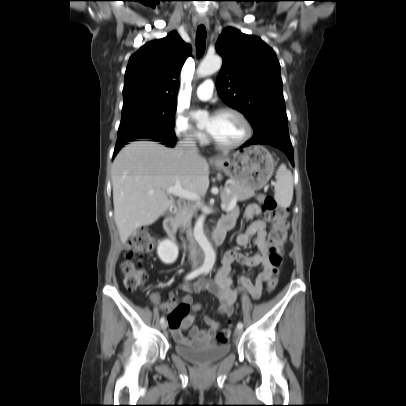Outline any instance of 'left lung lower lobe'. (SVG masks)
<instances>
[{"label": "left lung lower lobe", "mask_w": 406, "mask_h": 406, "mask_svg": "<svg viewBox=\"0 0 406 406\" xmlns=\"http://www.w3.org/2000/svg\"><path fill=\"white\" fill-rule=\"evenodd\" d=\"M256 144L272 145L276 148H279L289 157L292 165H294L293 148L289 138H282L270 135L253 137L251 140L242 145L241 148Z\"/></svg>", "instance_id": "obj_1"}]
</instances>
